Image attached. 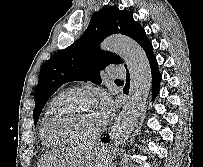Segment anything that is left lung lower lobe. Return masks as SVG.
Listing matches in <instances>:
<instances>
[{"instance_id": "left-lung-lower-lobe-1", "label": "left lung lower lobe", "mask_w": 203, "mask_h": 167, "mask_svg": "<svg viewBox=\"0 0 203 167\" xmlns=\"http://www.w3.org/2000/svg\"><path fill=\"white\" fill-rule=\"evenodd\" d=\"M142 48L144 49L147 58L149 60L150 63V67H151V73H152V96L153 98H155L158 93H159V84L161 82L162 76L159 72V68H158V63L156 60V57L153 53V46L150 42V40L148 42H146ZM127 83H128V78L129 76L127 75ZM127 86V84H126ZM102 142H109V135L104 137L103 139H101Z\"/></svg>"}]
</instances>
